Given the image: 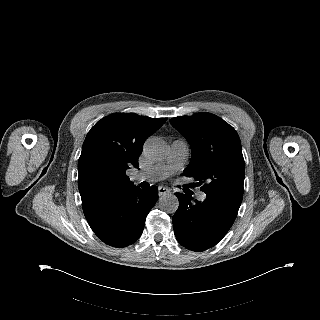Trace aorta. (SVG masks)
I'll list each match as a JSON object with an SVG mask.
<instances>
[{
  "mask_svg": "<svg viewBox=\"0 0 320 320\" xmlns=\"http://www.w3.org/2000/svg\"><path fill=\"white\" fill-rule=\"evenodd\" d=\"M169 148L165 141L150 138L144 144V155L152 162L162 161L168 154ZM160 209L166 213H175L179 206L178 198L174 194H165L159 199Z\"/></svg>",
  "mask_w": 320,
  "mask_h": 320,
  "instance_id": "1",
  "label": "aorta"
}]
</instances>
